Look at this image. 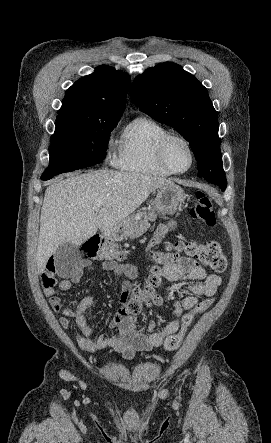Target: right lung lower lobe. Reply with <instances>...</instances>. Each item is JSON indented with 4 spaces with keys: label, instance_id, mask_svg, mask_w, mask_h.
Instances as JSON below:
<instances>
[{
    "label": "right lung lower lobe",
    "instance_id": "1",
    "mask_svg": "<svg viewBox=\"0 0 271 443\" xmlns=\"http://www.w3.org/2000/svg\"><path fill=\"white\" fill-rule=\"evenodd\" d=\"M66 172H69V171H66ZM61 173H65V171H61V172H57V173L49 174V175H42L41 179L42 180H48V179H51L52 177H54L55 175L61 174Z\"/></svg>",
    "mask_w": 271,
    "mask_h": 443
}]
</instances>
